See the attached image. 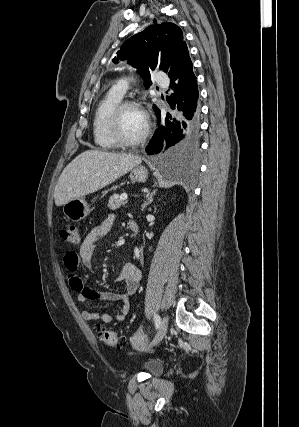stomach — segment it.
I'll return each mask as SVG.
<instances>
[{
	"mask_svg": "<svg viewBox=\"0 0 299 427\" xmlns=\"http://www.w3.org/2000/svg\"><path fill=\"white\" fill-rule=\"evenodd\" d=\"M148 178V170L143 166H137L131 170L130 179L137 182H145ZM91 212L84 197L71 200L63 205L64 215L73 222L86 218Z\"/></svg>",
	"mask_w": 299,
	"mask_h": 427,
	"instance_id": "0dacf381",
	"label": "stomach"
}]
</instances>
